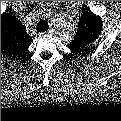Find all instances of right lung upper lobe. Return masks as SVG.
<instances>
[{
	"mask_svg": "<svg viewBox=\"0 0 121 121\" xmlns=\"http://www.w3.org/2000/svg\"><path fill=\"white\" fill-rule=\"evenodd\" d=\"M31 41L24 27L11 13L1 15V50L4 53L20 55Z\"/></svg>",
	"mask_w": 121,
	"mask_h": 121,
	"instance_id": "right-lung-upper-lobe-1",
	"label": "right lung upper lobe"
}]
</instances>
